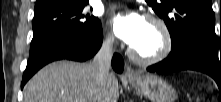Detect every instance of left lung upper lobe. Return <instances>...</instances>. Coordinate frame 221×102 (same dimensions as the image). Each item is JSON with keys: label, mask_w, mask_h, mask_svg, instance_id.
<instances>
[{"label": "left lung upper lobe", "mask_w": 221, "mask_h": 102, "mask_svg": "<svg viewBox=\"0 0 221 102\" xmlns=\"http://www.w3.org/2000/svg\"><path fill=\"white\" fill-rule=\"evenodd\" d=\"M147 3L164 20L171 35L172 47L195 39L218 52L211 0H147Z\"/></svg>", "instance_id": "left-lung-upper-lobe-1"}]
</instances>
